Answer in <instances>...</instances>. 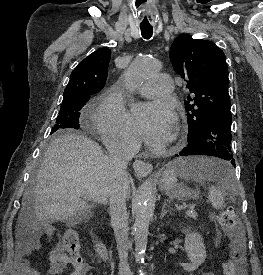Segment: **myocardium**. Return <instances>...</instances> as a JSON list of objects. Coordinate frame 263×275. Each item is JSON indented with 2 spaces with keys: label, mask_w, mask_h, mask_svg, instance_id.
<instances>
[{
  "label": "myocardium",
  "mask_w": 263,
  "mask_h": 275,
  "mask_svg": "<svg viewBox=\"0 0 263 275\" xmlns=\"http://www.w3.org/2000/svg\"><path fill=\"white\" fill-rule=\"evenodd\" d=\"M179 135H180V132L177 130V131L175 132V134H174L175 139H178V138H179Z\"/></svg>",
  "instance_id": "f54148a6"
}]
</instances>
